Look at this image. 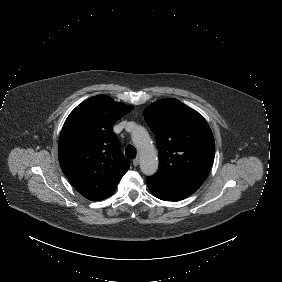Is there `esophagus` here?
Wrapping results in <instances>:
<instances>
[{"label": "esophagus", "mask_w": 282, "mask_h": 282, "mask_svg": "<svg viewBox=\"0 0 282 282\" xmlns=\"http://www.w3.org/2000/svg\"><path fill=\"white\" fill-rule=\"evenodd\" d=\"M138 165H139V159L136 158V159L133 160V166L137 167Z\"/></svg>", "instance_id": "obj_1"}]
</instances>
